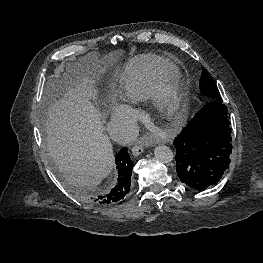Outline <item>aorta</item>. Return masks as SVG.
I'll list each match as a JSON object with an SVG mask.
<instances>
[{
	"instance_id": "aorta-1",
	"label": "aorta",
	"mask_w": 263,
	"mask_h": 263,
	"mask_svg": "<svg viewBox=\"0 0 263 263\" xmlns=\"http://www.w3.org/2000/svg\"><path fill=\"white\" fill-rule=\"evenodd\" d=\"M154 155L162 163H170L174 158L172 150L165 145L157 146L154 150Z\"/></svg>"
}]
</instances>
